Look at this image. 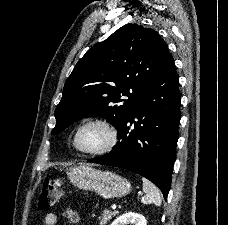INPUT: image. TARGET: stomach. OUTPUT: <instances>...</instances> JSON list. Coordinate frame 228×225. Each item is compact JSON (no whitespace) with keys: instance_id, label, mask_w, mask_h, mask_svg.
<instances>
[{"instance_id":"stomach-1","label":"stomach","mask_w":228,"mask_h":225,"mask_svg":"<svg viewBox=\"0 0 228 225\" xmlns=\"http://www.w3.org/2000/svg\"><path fill=\"white\" fill-rule=\"evenodd\" d=\"M69 179L78 189L94 191L103 199L125 197L132 191L131 183L127 179L111 171H97L87 165L72 167Z\"/></svg>"}]
</instances>
